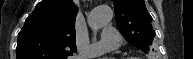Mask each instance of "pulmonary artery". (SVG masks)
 <instances>
[{"mask_svg":"<svg viewBox=\"0 0 193 59\" xmlns=\"http://www.w3.org/2000/svg\"><path fill=\"white\" fill-rule=\"evenodd\" d=\"M121 41L120 35L111 26H106L102 30V38L96 43H92L87 52L80 53L81 58H93L103 53L106 48H117Z\"/></svg>","mask_w":193,"mask_h":59,"instance_id":"e3ab8cb5","label":"pulmonary artery"}]
</instances>
